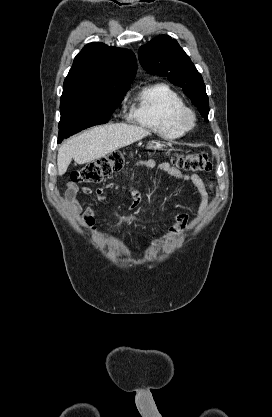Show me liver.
Wrapping results in <instances>:
<instances>
[{"mask_svg":"<svg viewBox=\"0 0 272 417\" xmlns=\"http://www.w3.org/2000/svg\"><path fill=\"white\" fill-rule=\"evenodd\" d=\"M150 135L142 127L128 124H108L97 126L65 141L58 149V175L62 176L72 159L84 164L130 145Z\"/></svg>","mask_w":272,"mask_h":417,"instance_id":"6515ba94","label":"liver"}]
</instances>
